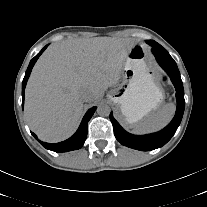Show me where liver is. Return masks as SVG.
I'll return each instance as SVG.
<instances>
[{
	"instance_id": "6515ba94",
	"label": "liver",
	"mask_w": 207,
	"mask_h": 207,
	"mask_svg": "<svg viewBox=\"0 0 207 207\" xmlns=\"http://www.w3.org/2000/svg\"><path fill=\"white\" fill-rule=\"evenodd\" d=\"M136 41L130 38H78L52 44L35 64L25 91L30 129L46 142L70 137L83 114L82 93L95 101L118 83Z\"/></svg>"
}]
</instances>
